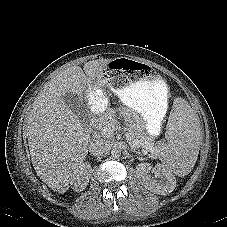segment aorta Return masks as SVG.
Returning <instances> with one entry per match:
<instances>
[{
    "instance_id": "aorta-1",
    "label": "aorta",
    "mask_w": 227,
    "mask_h": 227,
    "mask_svg": "<svg viewBox=\"0 0 227 227\" xmlns=\"http://www.w3.org/2000/svg\"><path fill=\"white\" fill-rule=\"evenodd\" d=\"M111 156L113 158H119L121 156V150L119 148H116V147L112 148Z\"/></svg>"
}]
</instances>
